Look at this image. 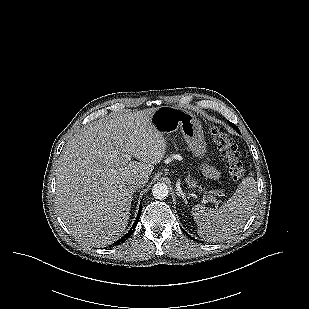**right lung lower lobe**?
<instances>
[{
    "label": "right lung lower lobe",
    "instance_id": "obj_1",
    "mask_svg": "<svg viewBox=\"0 0 309 309\" xmlns=\"http://www.w3.org/2000/svg\"><path fill=\"white\" fill-rule=\"evenodd\" d=\"M141 210H142V204L140 205V208H139V211H138V215H137L136 220H135L132 228L130 229V231L127 234H125L122 238L117 240L115 243H113L111 246L120 245V244L124 243L131 236V234L133 233V231L136 228V225H137V223L139 221V218H140V215H141L140 214Z\"/></svg>",
    "mask_w": 309,
    "mask_h": 309
}]
</instances>
